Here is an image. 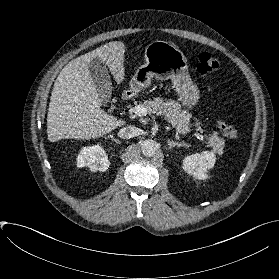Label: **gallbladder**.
I'll list each match as a JSON object with an SVG mask.
<instances>
[{
  "mask_svg": "<svg viewBox=\"0 0 279 279\" xmlns=\"http://www.w3.org/2000/svg\"><path fill=\"white\" fill-rule=\"evenodd\" d=\"M89 72L102 101L109 102L113 89L112 82L105 64L99 57L91 60Z\"/></svg>",
  "mask_w": 279,
  "mask_h": 279,
  "instance_id": "1",
  "label": "gallbladder"
}]
</instances>
